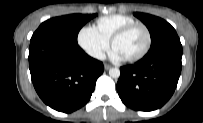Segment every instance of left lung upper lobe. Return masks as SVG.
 Wrapping results in <instances>:
<instances>
[{
  "instance_id": "5c2ea615",
  "label": "left lung upper lobe",
  "mask_w": 203,
  "mask_h": 123,
  "mask_svg": "<svg viewBox=\"0 0 203 123\" xmlns=\"http://www.w3.org/2000/svg\"><path fill=\"white\" fill-rule=\"evenodd\" d=\"M148 28L151 36V49L158 48L169 42L178 41L179 37L175 29L165 20L145 13H134Z\"/></svg>"
}]
</instances>
